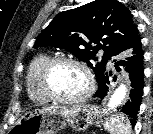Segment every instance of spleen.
I'll return each mask as SVG.
<instances>
[{
    "label": "spleen",
    "instance_id": "1",
    "mask_svg": "<svg viewBox=\"0 0 153 134\" xmlns=\"http://www.w3.org/2000/svg\"><path fill=\"white\" fill-rule=\"evenodd\" d=\"M110 134H131V125L124 114L114 115L105 127Z\"/></svg>",
    "mask_w": 153,
    "mask_h": 134
}]
</instances>
